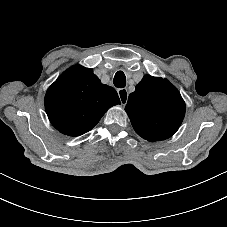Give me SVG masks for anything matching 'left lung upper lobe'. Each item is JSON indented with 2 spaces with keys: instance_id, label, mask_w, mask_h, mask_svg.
I'll return each instance as SVG.
<instances>
[{
  "instance_id": "5c2ea615",
  "label": "left lung upper lobe",
  "mask_w": 227,
  "mask_h": 227,
  "mask_svg": "<svg viewBox=\"0 0 227 227\" xmlns=\"http://www.w3.org/2000/svg\"><path fill=\"white\" fill-rule=\"evenodd\" d=\"M125 110L137 134L155 142L178 130L185 115V103L169 81L148 75L129 95Z\"/></svg>"
}]
</instances>
